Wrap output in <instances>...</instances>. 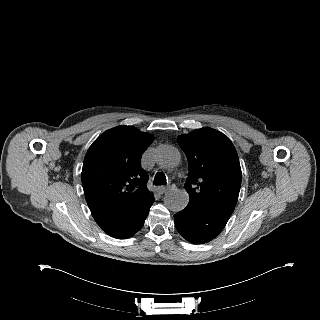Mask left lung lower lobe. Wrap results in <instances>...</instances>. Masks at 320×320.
<instances>
[{"instance_id": "1", "label": "left lung lower lobe", "mask_w": 320, "mask_h": 320, "mask_svg": "<svg viewBox=\"0 0 320 320\" xmlns=\"http://www.w3.org/2000/svg\"><path fill=\"white\" fill-rule=\"evenodd\" d=\"M230 216L216 207L189 199L187 206L174 215V221L184 239L193 244H203L223 230Z\"/></svg>"}]
</instances>
